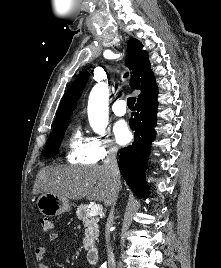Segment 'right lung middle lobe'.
I'll return each mask as SVG.
<instances>
[{
	"label": "right lung middle lobe",
	"mask_w": 221,
	"mask_h": 268,
	"mask_svg": "<svg viewBox=\"0 0 221 268\" xmlns=\"http://www.w3.org/2000/svg\"><path fill=\"white\" fill-rule=\"evenodd\" d=\"M67 127L68 121L53 127L46 147L42 153L43 156H51L57 152Z\"/></svg>",
	"instance_id": "right-lung-middle-lobe-1"
}]
</instances>
